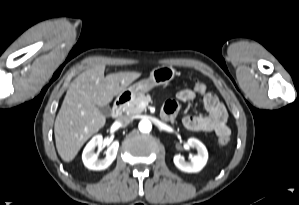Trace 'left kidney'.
I'll return each mask as SVG.
<instances>
[{
    "mask_svg": "<svg viewBox=\"0 0 299 205\" xmlns=\"http://www.w3.org/2000/svg\"><path fill=\"white\" fill-rule=\"evenodd\" d=\"M188 145L197 150V155L191 158L190 162H186L181 155L174 156L175 166L187 173H196L203 169L208 160V151L205 145L196 138H189Z\"/></svg>",
    "mask_w": 299,
    "mask_h": 205,
    "instance_id": "left-kidney-1",
    "label": "left kidney"
}]
</instances>
